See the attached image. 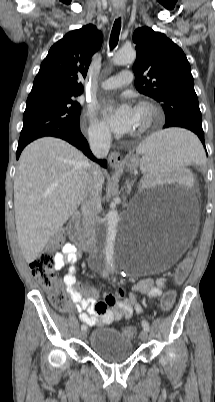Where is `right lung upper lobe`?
Returning a JSON list of instances; mask_svg holds the SVG:
<instances>
[{"label":"right lung upper lobe","instance_id":"1","mask_svg":"<svg viewBox=\"0 0 215 402\" xmlns=\"http://www.w3.org/2000/svg\"><path fill=\"white\" fill-rule=\"evenodd\" d=\"M102 43V34L92 25L67 33L55 43L43 60L29 94L80 95L91 57Z\"/></svg>","mask_w":215,"mask_h":402}]
</instances>
